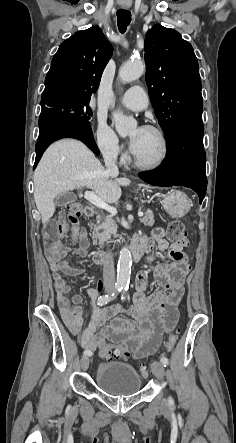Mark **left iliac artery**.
<instances>
[{
  "mask_svg": "<svg viewBox=\"0 0 236 443\" xmlns=\"http://www.w3.org/2000/svg\"><path fill=\"white\" fill-rule=\"evenodd\" d=\"M127 290H128V286L124 287V288H123V293H125V291H127ZM122 299H125V296H124V295H122ZM160 361H161V363H162L165 367H166V366L168 365V363H169V361H168V359H167L166 357H162V358L160 359ZM169 400L172 401V398L170 397Z\"/></svg>",
  "mask_w": 236,
  "mask_h": 443,
  "instance_id": "44dca946",
  "label": "left iliac artery"
}]
</instances>
